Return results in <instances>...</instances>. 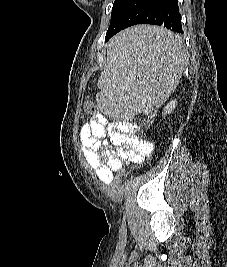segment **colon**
<instances>
[{
	"label": "colon",
	"mask_w": 227,
	"mask_h": 267,
	"mask_svg": "<svg viewBox=\"0 0 227 267\" xmlns=\"http://www.w3.org/2000/svg\"><path fill=\"white\" fill-rule=\"evenodd\" d=\"M85 109L89 113H94L96 111V106L92 103H87L85 105ZM158 118H159V113H149L147 111V115H143L144 120L141 121V124L149 125V127H152V125H156ZM133 164H135L134 158L128 159V161H124L123 169L117 171L118 178H125V176H128V174H131V171H134Z\"/></svg>",
	"instance_id": "colon-1"
}]
</instances>
